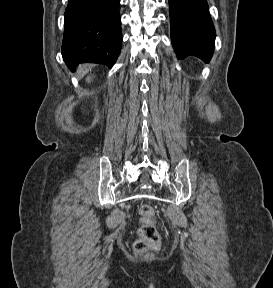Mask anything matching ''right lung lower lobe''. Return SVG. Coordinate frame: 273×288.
<instances>
[{"mask_svg": "<svg viewBox=\"0 0 273 288\" xmlns=\"http://www.w3.org/2000/svg\"><path fill=\"white\" fill-rule=\"evenodd\" d=\"M121 44L119 0H69L64 14L62 56L71 70L83 62L111 68Z\"/></svg>", "mask_w": 273, "mask_h": 288, "instance_id": "1", "label": "right lung lower lobe"}]
</instances>
